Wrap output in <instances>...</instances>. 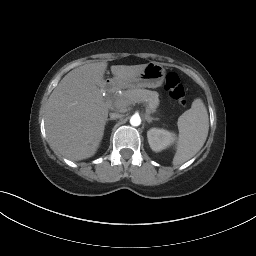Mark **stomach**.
Instances as JSON below:
<instances>
[{
    "instance_id": "stomach-1",
    "label": "stomach",
    "mask_w": 256,
    "mask_h": 256,
    "mask_svg": "<svg viewBox=\"0 0 256 256\" xmlns=\"http://www.w3.org/2000/svg\"><path fill=\"white\" fill-rule=\"evenodd\" d=\"M165 78V69L158 62H149L145 69L137 76L123 83L121 87L128 88H158L162 86Z\"/></svg>"
}]
</instances>
